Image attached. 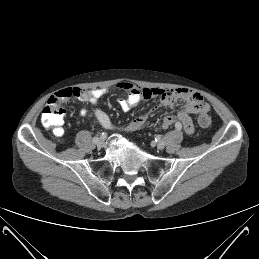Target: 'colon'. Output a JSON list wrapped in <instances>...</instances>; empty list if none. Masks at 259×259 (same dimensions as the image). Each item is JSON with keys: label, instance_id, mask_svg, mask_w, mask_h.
<instances>
[{"label": "colon", "instance_id": "obj_1", "mask_svg": "<svg viewBox=\"0 0 259 259\" xmlns=\"http://www.w3.org/2000/svg\"><path fill=\"white\" fill-rule=\"evenodd\" d=\"M64 115L65 109L60 105V100L50 98L42 110L41 122L46 128L51 129L56 136H61L63 133L61 125ZM198 124L203 128H207L211 125V116L208 110L200 112Z\"/></svg>", "mask_w": 259, "mask_h": 259}]
</instances>
